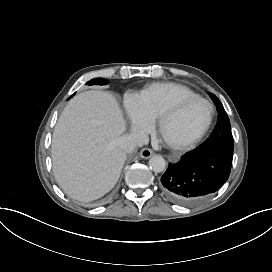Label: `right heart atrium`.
<instances>
[{"mask_svg":"<svg viewBox=\"0 0 272 272\" xmlns=\"http://www.w3.org/2000/svg\"><path fill=\"white\" fill-rule=\"evenodd\" d=\"M150 124H151L150 118L133 109L131 118V125L133 128H147Z\"/></svg>","mask_w":272,"mask_h":272,"instance_id":"1","label":"right heart atrium"}]
</instances>
